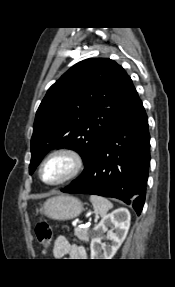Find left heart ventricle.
<instances>
[{
	"mask_svg": "<svg viewBox=\"0 0 175 287\" xmlns=\"http://www.w3.org/2000/svg\"><path fill=\"white\" fill-rule=\"evenodd\" d=\"M72 162L67 156H56L50 159L43 168L46 182H56L64 178L71 170Z\"/></svg>",
	"mask_w": 175,
	"mask_h": 287,
	"instance_id": "1",
	"label": "left heart ventricle"
}]
</instances>
